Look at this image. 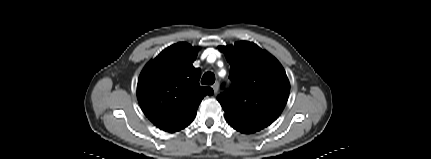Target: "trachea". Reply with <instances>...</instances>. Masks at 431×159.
I'll return each mask as SVG.
<instances>
[{
    "label": "trachea",
    "mask_w": 431,
    "mask_h": 159,
    "mask_svg": "<svg viewBox=\"0 0 431 159\" xmlns=\"http://www.w3.org/2000/svg\"><path fill=\"white\" fill-rule=\"evenodd\" d=\"M214 82L215 75L212 72H206L201 79L203 85H212Z\"/></svg>",
    "instance_id": "trachea-1"
}]
</instances>
